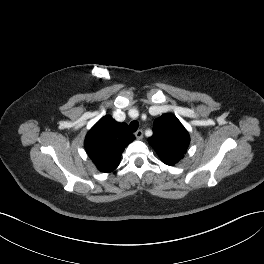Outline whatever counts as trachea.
Instances as JSON below:
<instances>
[{
    "label": "trachea",
    "mask_w": 264,
    "mask_h": 264,
    "mask_svg": "<svg viewBox=\"0 0 264 264\" xmlns=\"http://www.w3.org/2000/svg\"><path fill=\"white\" fill-rule=\"evenodd\" d=\"M138 127H139V125H138V122L137 121H132L129 124V130H130V132H135L138 129Z\"/></svg>",
    "instance_id": "trachea-1"
}]
</instances>
